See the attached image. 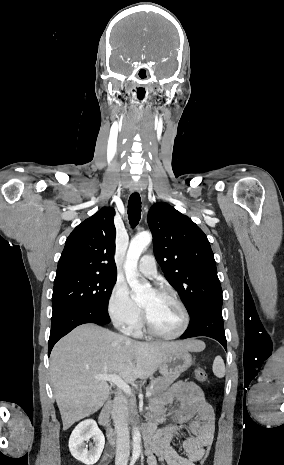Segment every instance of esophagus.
Here are the masks:
<instances>
[{
    "label": "esophagus",
    "mask_w": 284,
    "mask_h": 465,
    "mask_svg": "<svg viewBox=\"0 0 284 465\" xmlns=\"http://www.w3.org/2000/svg\"><path fill=\"white\" fill-rule=\"evenodd\" d=\"M130 191L132 193H140V187L136 184H133L131 187H130Z\"/></svg>",
    "instance_id": "1"
}]
</instances>
